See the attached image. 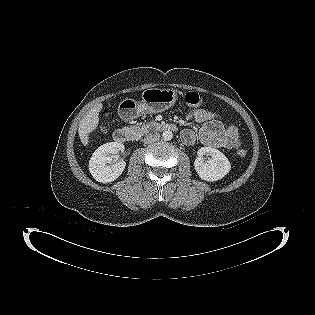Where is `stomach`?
<instances>
[{"instance_id":"1","label":"stomach","mask_w":315,"mask_h":315,"mask_svg":"<svg viewBox=\"0 0 315 315\" xmlns=\"http://www.w3.org/2000/svg\"><path fill=\"white\" fill-rule=\"evenodd\" d=\"M177 100V92L173 89H150L143 93L139 103L134 99L123 100L118 107L119 116L125 120L137 119L141 112L159 113L171 106Z\"/></svg>"}]
</instances>
